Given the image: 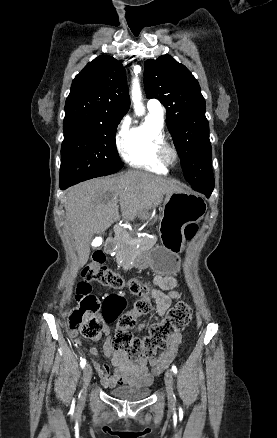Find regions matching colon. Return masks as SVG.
I'll return each instance as SVG.
<instances>
[{
  "label": "colon",
  "instance_id": "5ec220e1",
  "mask_svg": "<svg viewBox=\"0 0 277 438\" xmlns=\"http://www.w3.org/2000/svg\"><path fill=\"white\" fill-rule=\"evenodd\" d=\"M197 229V225L189 224L185 227V235L191 238L196 234ZM105 261L104 252L95 251L82 272L83 279L86 282H94L119 291L128 290L131 296L137 298L131 309L119 313L117 322L120 330L112 336L113 346L125 352L133 361L142 358L155 361L156 351L165 350L170 338L190 323L192 308L187 301H180L167 311L164 319L151 324L145 335L132 334L129 329L135 325L137 317L144 316L153 310V304L150 301L152 284L144 277L125 279L105 265ZM91 291V287L85 283L78 287L76 294L83 306L74 309L69 316L70 330L88 338L105 333V320L99 312L97 297L89 296Z\"/></svg>",
  "mask_w": 277,
  "mask_h": 438
}]
</instances>
